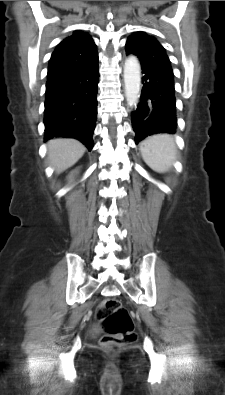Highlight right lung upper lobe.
I'll return each instance as SVG.
<instances>
[{"mask_svg":"<svg viewBox=\"0 0 225 395\" xmlns=\"http://www.w3.org/2000/svg\"><path fill=\"white\" fill-rule=\"evenodd\" d=\"M97 58L96 45L90 35L75 31L56 46L49 60L47 77L82 69Z\"/></svg>","mask_w":225,"mask_h":395,"instance_id":"right-lung-upper-lobe-1","label":"right lung upper lobe"}]
</instances>
